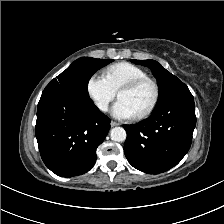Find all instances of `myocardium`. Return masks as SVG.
Instances as JSON below:
<instances>
[{"instance_id":"1","label":"myocardium","mask_w":224,"mask_h":224,"mask_svg":"<svg viewBox=\"0 0 224 224\" xmlns=\"http://www.w3.org/2000/svg\"><path fill=\"white\" fill-rule=\"evenodd\" d=\"M144 84H148L151 86L153 90V96L148 106L142 112L136 115L137 119H143L149 116L156 108L160 98V88L158 83L149 77H142V78L134 79L132 81L125 83L124 85L120 87V89L117 92V96H118V94L121 91H132L139 88L140 86Z\"/></svg>"}]
</instances>
